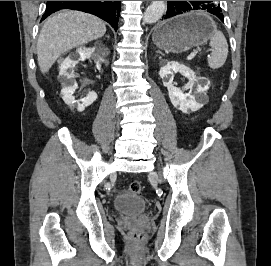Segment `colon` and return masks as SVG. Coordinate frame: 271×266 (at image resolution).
<instances>
[{
    "label": "colon",
    "mask_w": 271,
    "mask_h": 266,
    "mask_svg": "<svg viewBox=\"0 0 271 266\" xmlns=\"http://www.w3.org/2000/svg\"><path fill=\"white\" fill-rule=\"evenodd\" d=\"M129 191L134 195H140L142 192V186L137 181L131 182L129 185ZM144 237H145L144 232L141 230H135L132 233V238L135 241H142Z\"/></svg>",
    "instance_id": "1"
}]
</instances>
